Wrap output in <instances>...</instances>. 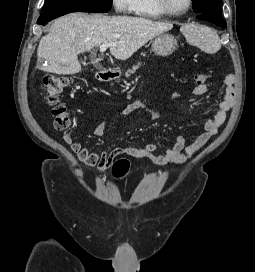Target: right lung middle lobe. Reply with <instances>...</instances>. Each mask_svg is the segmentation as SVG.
<instances>
[{
  "mask_svg": "<svg viewBox=\"0 0 255 272\" xmlns=\"http://www.w3.org/2000/svg\"><path fill=\"white\" fill-rule=\"evenodd\" d=\"M111 6L112 0H45L43 11L105 13Z\"/></svg>",
  "mask_w": 255,
  "mask_h": 272,
  "instance_id": "obj_1",
  "label": "right lung middle lobe"
}]
</instances>
